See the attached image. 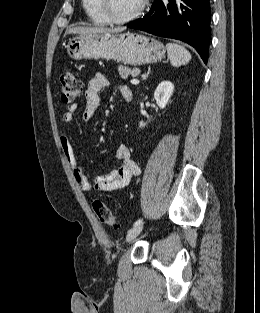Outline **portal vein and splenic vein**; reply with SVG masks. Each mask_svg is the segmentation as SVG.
<instances>
[{"instance_id":"18ae733b","label":"portal vein and splenic vein","mask_w":260,"mask_h":313,"mask_svg":"<svg viewBox=\"0 0 260 313\" xmlns=\"http://www.w3.org/2000/svg\"><path fill=\"white\" fill-rule=\"evenodd\" d=\"M132 84H139V80L138 79H132L131 81H130Z\"/></svg>"}]
</instances>
